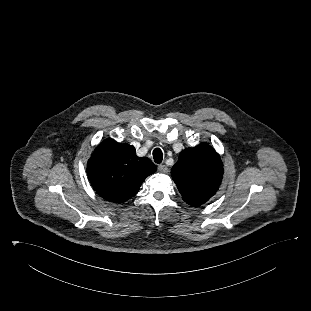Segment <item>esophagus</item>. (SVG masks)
I'll return each mask as SVG.
<instances>
[{
    "instance_id": "esophagus-1",
    "label": "esophagus",
    "mask_w": 311,
    "mask_h": 311,
    "mask_svg": "<svg viewBox=\"0 0 311 311\" xmlns=\"http://www.w3.org/2000/svg\"><path fill=\"white\" fill-rule=\"evenodd\" d=\"M158 170H159L160 172H162V173H167V172H168L167 166H165V165H163V164H161V165L158 166Z\"/></svg>"
}]
</instances>
